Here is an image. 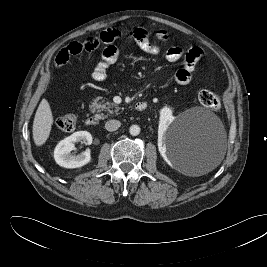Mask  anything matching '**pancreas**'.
Segmentation results:
<instances>
[{"instance_id":"cf45deb5","label":"pancreas","mask_w":267,"mask_h":267,"mask_svg":"<svg viewBox=\"0 0 267 267\" xmlns=\"http://www.w3.org/2000/svg\"><path fill=\"white\" fill-rule=\"evenodd\" d=\"M99 100H101V97H97L92 103H91V108L93 109V111H96L97 112H101V111H108L109 113H117L119 111V107L112 103V102H105L103 103L102 102H99ZM114 108V109H112ZM101 118H106L107 115H103V114H100Z\"/></svg>"}]
</instances>
